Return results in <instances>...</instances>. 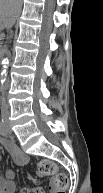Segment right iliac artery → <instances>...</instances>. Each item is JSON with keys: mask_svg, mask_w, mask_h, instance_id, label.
Listing matches in <instances>:
<instances>
[{"mask_svg": "<svg viewBox=\"0 0 103 193\" xmlns=\"http://www.w3.org/2000/svg\"><path fill=\"white\" fill-rule=\"evenodd\" d=\"M7 129H6V126L5 124L2 122L0 124V134L3 135V136H6L7 135Z\"/></svg>", "mask_w": 103, "mask_h": 193, "instance_id": "obj_1", "label": "right iliac artery"}]
</instances>
